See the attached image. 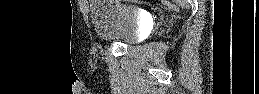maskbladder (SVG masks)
Here are the masks:
<instances>
[{"label": "bladder", "instance_id": "31cf9c89", "mask_svg": "<svg viewBox=\"0 0 259 94\" xmlns=\"http://www.w3.org/2000/svg\"><path fill=\"white\" fill-rule=\"evenodd\" d=\"M90 19L94 30L104 41L132 45L140 40L143 20L134 7L111 1H92Z\"/></svg>", "mask_w": 259, "mask_h": 94}]
</instances>
